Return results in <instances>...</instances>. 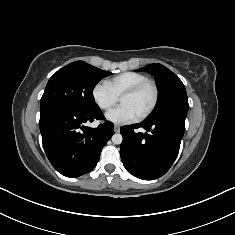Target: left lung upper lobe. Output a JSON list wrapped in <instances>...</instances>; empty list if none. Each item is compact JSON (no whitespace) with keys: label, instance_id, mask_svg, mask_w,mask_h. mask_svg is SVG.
Masks as SVG:
<instances>
[{"label":"left lung upper lobe","instance_id":"obj_1","mask_svg":"<svg viewBox=\"0 0 235 235\" xmlns=\"http://www.w3.org/2000/svg\"><path fill=\"white\" fill-rule=\"evenodd\" d=\"M138 71L153 74L159 90L157 104L147 119L167 114L187 115L189 104L185 86L171 70L154 63L140 68Z\"/></svg>","mask_w":235,"mask_h":235}]
</instances>
